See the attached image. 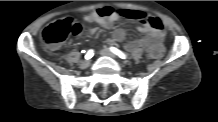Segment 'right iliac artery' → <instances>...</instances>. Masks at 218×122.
I'll use <instances>...</instances> for the list:
<instances>
[{"label": "right iliac artery", "instance_id": "82829eb1", "mask_svg": "<svg viewBox=\"0 0 218 122\" xmlns=\"http://www.w3.org/2000/svg\"><path fill=\"white\" fill-rule=\"evenodd\" d=\"M94 54V50L93 49H90L87 51L86 55H85V58L86 59H90Z\"/></svg>", "mask_w": 218, "mask_h": 122}]
</instances>
